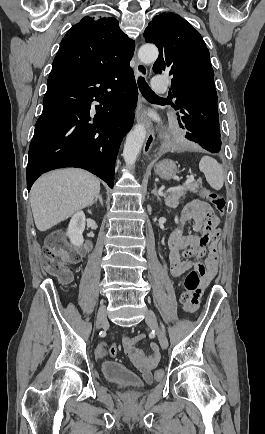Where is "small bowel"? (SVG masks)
Here are the masks:
<instances>
[{
	"instance_id": "small-bowel-1",
	"label": "small bowel",
	"mask_w": 265,
	"mask_h": 434,
	"mask_svg": "<svg viewBox=\"0 0 265 434\" xmlns=\"http://www.w3.org/2000/svg\"><path fill=\"white\" fill-rule=\"evenodd\" d=\"M191 222L194 233L184 234V226ZM219 218L209 204L203 200H193L187 204L180 217V222L168 239L169 268L174 278H181L187 271L197 266L193 258H205V266L199 268V276L204 280L199 291L191 299L190 312H197L202 291L215 276L217 270V241L220 235ZM145 339L143 333L134 337L124 336L122 344L125 352L140 367L145 382L152 381L151 369L160 358V350L155 342L150 344V351L144 352L137 344Z\"/></svg>"
}]
</instances>
